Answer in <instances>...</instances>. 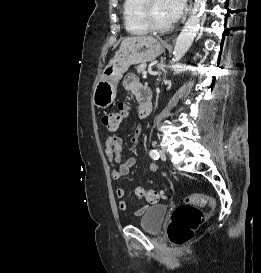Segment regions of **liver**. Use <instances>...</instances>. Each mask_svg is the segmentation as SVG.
Returning a JSON list of instances; mask_svg holds the SVG:
<instances>
[{
	"label": "liver",
	"mask_w": 261,
	"mask_h": 273,
	"mask_svg": "<svg viewBox=\"0 0 261 273\" xmlns=\"http://www.w3.org/2000/svg\"><path fill=\"white\" fill-rule=\"evenodd\" d=\"M146 38H150V37H140V36H137V37H128L126 39H124L121 43V45H125L131 41H134V40H137V39H146Z\"/></svg>",
	"instance_id": "1"
}]
</instances>
